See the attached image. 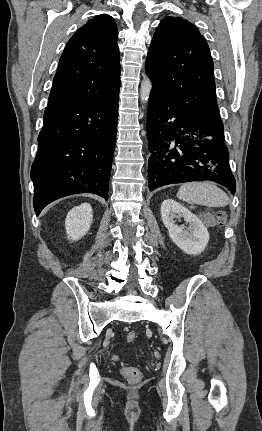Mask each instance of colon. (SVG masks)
<instances>
[{"label": "colon", "mask_w": 262, "mask_h": 431, "mask_svg": "<svg viewBox=\"0 0 262 431\" xmlns=\"http://www.w3.org/2000/svg\"><path fill=\"white\" fill-rule=\"evenodd\" d=\"M218 219L220 222L224 221V214L220 213L218 215ZM137 333L135 331H129L126 334V340L127 342H133L137 338ZM122 375L130 382V383H137L141 380V372L133 366H123L121 368Z\"/></svg>", "instance_id": "colon-1"}]
</instances>
